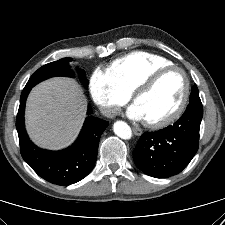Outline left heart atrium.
<instances>
[{"mask_svg": "<svg viewBox=\"0 0 225 225\" xmlns=\"http://www.w3.org/2000/svg\"><path fill=\"white\" fill-rule=\"evenodd\" d=\"M127 115L134 120H143V114L136 104L131 105L127 110Z\"/></svg>", "mask_w": 225, "mask_h": 225, "instance_id": "obj_1", "label": "left heart atrium"}]
</instances>
